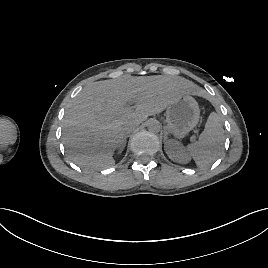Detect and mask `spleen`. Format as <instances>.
<instances>
[{
    "label": "spleen",
    "mask_w": 268,
    "mask_h": 268,
    "mask_svg": "<svg viewBox=\"0 0 268 268\" xmlns=\"http://www.w3.org/2000/svg\"><path fill=\"white\" fill-rule=\"evenodd\" d=\"M224 142V130L218 113H210L198 141L188 145L187 150L200 168L210 166L217 158Z\"/></svg>",
    "instance_id": "spleen-1"
}]
</instances>
